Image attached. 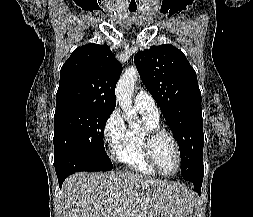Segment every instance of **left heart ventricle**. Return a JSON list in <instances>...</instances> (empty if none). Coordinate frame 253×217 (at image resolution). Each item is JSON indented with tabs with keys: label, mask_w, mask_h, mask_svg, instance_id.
<instances>
[{
	"label": "left heart ventricle",
	"mask_w": 253,
	"mask_h": 217,
	"mask_svg": "<svg viewBox=\"0 0 253 217\" xmlns=\"http://www.w3.org/2000/svg\"><path fill=\"white\" fill-rule=\"evenodd\" d=\"M154 155L161 170L166 173H172L177 164L176 152L172 141L166 135L157 138L154 143Z\"/></svg>",
	"instance_id": "obj_1"
}]
</instances>
